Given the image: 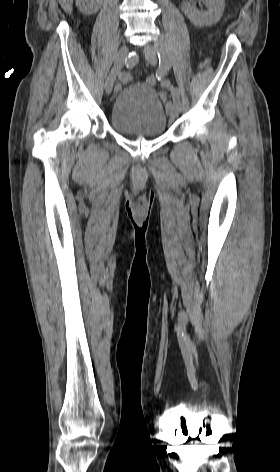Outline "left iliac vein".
I'll list each match as a JSON object with an SVG mask.
<instances>
[{"label":"left iliac vein","mask_w":280,"mask_h":472,"mask_svg":"<svg viewBox=\"0 0 280 472\" xmlns=\"http://www.w3.org/2000/svg\"><path fill=\"white\" fill-rule=\"evenodd\" d=\"M158 43H162L161 41H159ZM144 54H145V58L146 60L151 64V65H156L157 64V53H156V48L151 45V44H146V46L144 47ZM167 112L169 114V116L173 119H175L177 116H178V113H179V109L177 108V106L172 103L171 101H169L167 103Z\"/></svg>","instance_id":"1"}]
</instances>
